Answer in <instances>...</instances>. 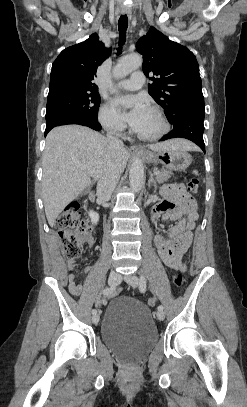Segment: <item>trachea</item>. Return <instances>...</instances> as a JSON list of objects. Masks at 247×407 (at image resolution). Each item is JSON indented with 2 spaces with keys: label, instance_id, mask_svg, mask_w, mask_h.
I'll return each instance as SVG.
<instances>
[{
  "label": "trachea",
  "instance_id": "obj_1",
  "mask_svg": "<svg viewBox=\"0 0 247 407\" xmlns=\"http://www.w3.org/2000/svg\"><path fill=\"white\" fill-rule=\"evenodd\" d=\"M128 28V17L127 15H121L119 18V22H118V29L120 32V41H119V48L118 50H121V47L124 45L125 43V34H126V30Z\"/></svg>",
  "mask_w": 247,
  "mask_h": 407
}]
</instances>
